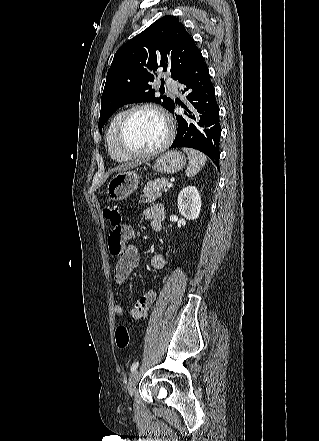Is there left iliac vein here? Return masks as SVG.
Listing matches in <instances>:
<instances>
[{
  "label": "left iliac vein",
  "mask_w": 319,
  "mask_h": 441,
  "mask_svg": "<svg viewBox=\"0 0 319 441\" xmlns=\"http://www.w3.org/2000/svg\"><path fill=\"white\" fill-rule=\"evenodd\" d=\"M138 371L135 370L131 373L128 384H127V391L128 393L133 396L135 389H136V385H137V381H138Z\"/></svg>",
  "instance_id": "left-iliac-vein-1"
}]
</instances>
